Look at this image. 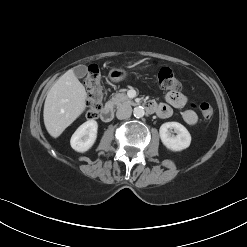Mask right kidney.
Masks as SVG:
<instances>
[{
    "mask_svg": "<svg viewBox=\"0 0 247 247\" xmlns=\"http://www.w3.org/2000/svg\"><path fill=\"white\" fill-rule=\"evenodd\" d=\"M98 123L95 120H89L83 123L72 135L70 144L77 152L88 151L96 141Z\"/></svg>",
    "mask_w": 247,
    "mask_h": 247,
    "instance_id": "1",
    "label": "right kidney"
}]
</instances>
